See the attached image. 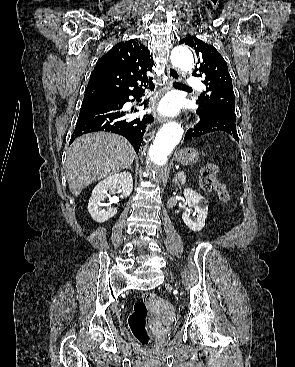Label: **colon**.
<instances>
[{
	"label": "colon",
	"mask_w": 295,
	"mask_h": 367,
	"mask_svg": "<svg viewBox=\"0 0 295 367\" xmlns=\"http://www.w3.org/2000/svg\"><path fill=\"white\" fill-rule=\"evenodd\" d=\"M219 168L216 164L206 165L199 176V184L202 190L218 195L221 201L227 203L230 199L229 192L216 177ZM152 292L143 293L141 300L135 303L133 312L128 318V325L135 338L144 346H151L154 338L146 329L147 302L153 300Z\"/></svg>",
	"instance_id": "colon-1"
}]
</instances>
